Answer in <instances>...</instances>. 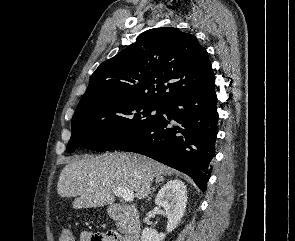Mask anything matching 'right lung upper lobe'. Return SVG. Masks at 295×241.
I'll list each match as a JSON object with an SVG mask.
<instances>
[{
  "label": "right lung upper lobe",
  "mask_w": 295,
  "mask_h": 241,
  "mask_svg": "<svg viewBox=\"0 0 295 241\" xmlns=\"http://www.w3.org/2000/svg\"><path fill=\"white\" fill-rule=\"evenodd\" d=\"M213 81L207 51L195 36L174 27L154 28L99 65L81 100L119 96L163 106Z\"/></svg>",
  "instance_id": "1"
}]
</instances>
